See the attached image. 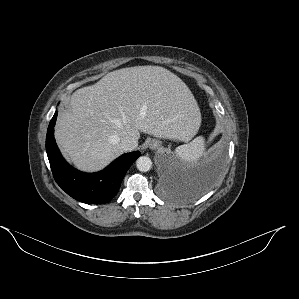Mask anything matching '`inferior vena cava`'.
I'll return each instance as SVG.
<instances>
[{
  "label": "inferior vena cava",
  "instance_id": "1",
  "mask_svg": "<svg viewBox=\"0 0 299 299\" xmlns=\"http://www.w3.org/2000/svg\"><path fill=\"white\" fill-rule=\"evenodd\" d=\"M138 146V141L133 137H125L120 141V147L123 151L134 150Z\"/></svg>",
  "mask_w": 299,
  "mask_h": 299
}]
</instances>
